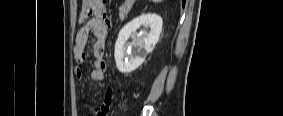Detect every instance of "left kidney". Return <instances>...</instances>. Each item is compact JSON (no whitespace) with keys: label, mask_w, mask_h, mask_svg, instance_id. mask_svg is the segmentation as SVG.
<instances>
[{"label":"left kidney","mask_w":283,"mask_h":116,"mask_svg":"<svg viewBox=\"0 0 283 116\" xmlns=\"http://www.w3.org/2000/svg\"><path fill=\"white\" fill-rule=\"evenodd\" d=\"M162 24L159 15L148 13L136 17L120 30L115 43L114 57L121 73H130L145 61L146 56L152 52L159 40ZM141 26H148L150 32L147 35H137L136 31ZM132 35L134 40L128 45L127 41Z\"/></svg>","instance_id":"left-kidney-1"}]
</instances>
